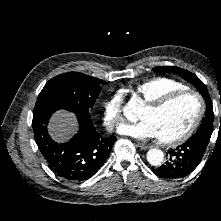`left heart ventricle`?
<instances>
[{
    "label": "left heart ventricle",
    "instance_id": "1",
    "mask_svg": "<svg viewBox=\"0 0 221 221\" xmlns=\"http://www.w3.org/2000/svg\"><path fill=\"white\" fill-rule=\"evenodd\" d=\"M197 112L198 102L195 97L185 95L159 111L144 107L139 118L152 123L158 139L168 140L182 134L193 122Z\"/></svg>",
    "mask_w": 221,
    "mask_h": 221
}]
</instances>
